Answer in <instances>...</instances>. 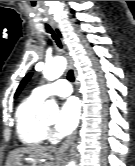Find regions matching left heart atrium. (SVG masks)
I'll return each instance as SVG.
<instances>
[{
	"label": "left heart atrium",
	"instance_id": "left-heart-atrium-1",
	"mask_svg": "<svg viewBox=\"0 0 135 166\" xmlns=\"http://www.w3.org/2000/svg\"><path fill=\"white\" fill-rule=\"evenodd\" d=\"M80 117V105L77 99L70 98L62 105L55 128L59 134H70L77 126Z\"/></svg>",
	"mask_w": 135,
	"mask_h": 166
}]
</instances>
